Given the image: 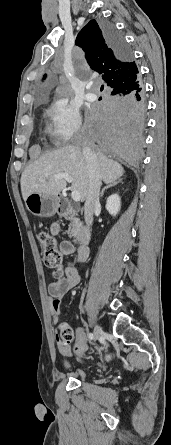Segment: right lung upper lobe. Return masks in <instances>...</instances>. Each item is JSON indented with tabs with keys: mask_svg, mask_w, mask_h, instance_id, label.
<instances>
[{
	"mask_svg": "<svg viewBox=\"0 0 171 445\" xmlns=\"http://www.w3.org/2000/svg\"><path fill=\"white\" fill-rule=\"evenodd\" d=\"M76 45L83 48L91 69L102 74L111 90H117L140 80L136 63L131 55L122 60L110 48L103 31L95 20H91L77 35Z\"/></svg>",
	"mask_w": 171,
	"mask_h": 445,
	"instance_id": "1",
	"label": "right lung upper lobe"
}]
</instances>
